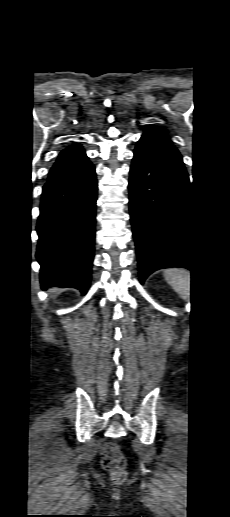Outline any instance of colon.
Wrapping results in <instances>:
<instances>
[{
    "label": "colon",
    "mask_w": 230,
    "mask_h": 517,
    "mask_svg": "<svg viewBox=\"0 0 230 517\" xmlns=\"http://www.w3.org/2000/svg\"><path fill=\"white\" fill-rule=\"evenodd\" d=\"M101 464L114 480L122 481L126 476V460L119 445L108 442L101 449Z\"/></svg>",
    "instance_id": "1"
}]
</instances>
